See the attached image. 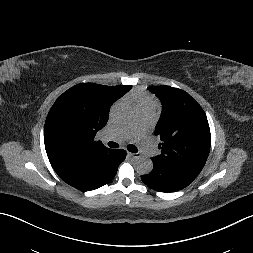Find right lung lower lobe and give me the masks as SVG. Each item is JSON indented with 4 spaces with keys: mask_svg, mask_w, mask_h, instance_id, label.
<instances>
[{
    "mask_svg": "<svg viewBox=\"0 0 253 253\" xmlns=\"http://www.w3.org/2000/svg\"><path fill=\"white\" fill-rule=\"evenodd\" d=\"M125 158L124 150L110 149L90 161L73 163L55 171L67 184L81 191H90L109 183Z\"/></svg>",
    "mask_w": 253,
    "mask_h": 253,
    "instance_id": "1",
    "label": "right lung lower lobe"
}]
</instances>
